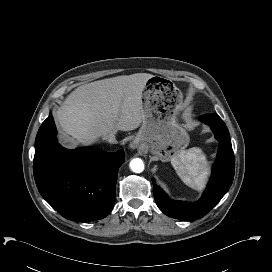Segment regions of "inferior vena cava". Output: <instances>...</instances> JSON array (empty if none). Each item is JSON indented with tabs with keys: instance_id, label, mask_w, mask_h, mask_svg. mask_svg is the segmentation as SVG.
Wrapping results in <instances>:
<instances>
[{
	"instance_id": "inferior-vena-cava-1",
	"label": "inferior vena cava",
	"mask_w": 272,
	"mask_h": 272,
	"mask_svg": "<svg viewBox=\"0 0 272 272\" xmlns=\"http://www.w3.org/2000/svg\"><path fill=\"white\" fill-rule=\"evenodd\" d=\"M104 139L111 144L117 143L116 136H115V134H112V133L105 136Z\"/></svg>"
}]
</instances>
